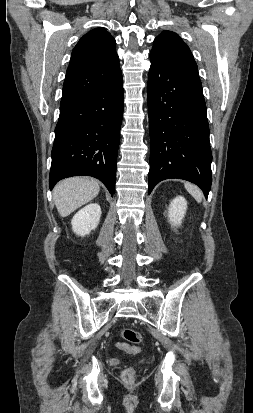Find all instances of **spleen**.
I'll return each mask as SVG.
<instances>
[{
	"instance_id": "obj_1",
	"label": "spleen",
	"mask_w": 253,
	"mask_h": 413,
	"mask_svg": "<svg viewBox=\"0 0 253 413\" xmlns=\"http://www.w3.org/2000/svg\"><path fill=\"white\" fill-rule=\"evenodd\" d=\"M186 190L189 192V194H191V196H193V198L198 202L201 203L202 198H203V194L201 192V190L194 184H191L189 182H186L184 184Z\"/></svg>"
}]
</instances>
